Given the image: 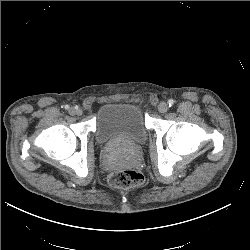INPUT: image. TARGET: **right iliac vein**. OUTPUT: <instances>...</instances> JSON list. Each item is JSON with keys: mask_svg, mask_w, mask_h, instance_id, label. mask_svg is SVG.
<instances>
[{"mask_svg": "<svg viewBox=\"0 0 250 250\" xmlns=\"http://www.w3.org/2000/svg\"><path fill=\"white\" fill-rule=\"evenodd\" d=\"M68 112L71 115H77V116H81L83 114V111L81 108H74V107L69 108Z\"/></svg>", "mask_w": 250, "mask_h": 250, "instance_id": "63e3f726", "label": "right iliac vein"}]
</instances>
